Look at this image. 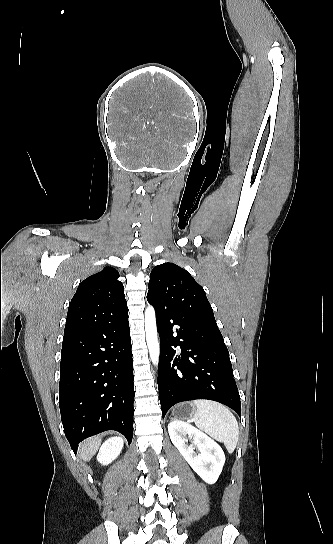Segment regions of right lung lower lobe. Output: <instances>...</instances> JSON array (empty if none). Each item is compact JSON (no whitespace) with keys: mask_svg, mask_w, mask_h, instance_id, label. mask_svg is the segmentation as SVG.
<instances>
[{"mask_svg":"<svg viewBox=\"0 0 333 544\" xmlns=\"http://www.w3.org/2000/svg\"><path fill=\"white\" fill-rule=\"evenodd\" d=\"M133 359L128 313L64 336L60 412L74 453L87 437L106 430L133 437Z\"/></svg>","mask_w":333,"mask_h":544,"instance_id":"98d812e1","label":"right lung lower lobe"}]
</instances>
